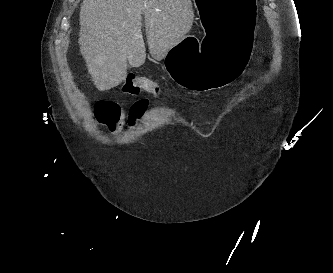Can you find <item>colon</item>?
I'll return each instance as SVG.
<instances>
[{
  "mask_svg": "<svg viewBox=\"0 0 333 273\" xmlns=\"http://www.w3.org/2000/svg\"><path fill=\"white\" fill-rule=\"evenodd\" d=\"M122 90L132 95L146 91L157 96L160 93V86L151 79L129 74L123 83ZM95 114L100 123L113 127L120 117V107L112 101H99L95 106Z\"/></svg>",
  "mask_w": 333,
  "mask_h": 273,
  "instance_id": "obj_1",
  "label": "colon"
}]
</instances>
